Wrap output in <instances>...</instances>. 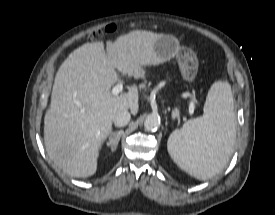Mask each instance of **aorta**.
Returning a JSON list of instances; mask_svg holds the SVG:
<instances>
[{"instance_id":"obj_1","label":"aorta","mask_w":275,"mask_h":215,"mask_svg":"<svg viewBox=\"0 0 275 215\" xmlns=\"http://www.w3.org/2000/svg\"><path fill=\"white\" fill-rule=\"evenodd\" d=\"M160 126V116L152 113L145 118L144 127L148 131L157 130Z\"/></svg>"}]
</instances>
